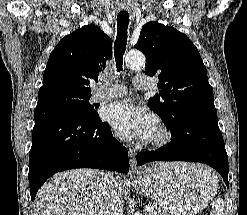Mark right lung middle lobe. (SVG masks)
I'll return each mask as SVG.
<instances>
[{
  "mask_svg": "<svg viewBox=\"0 0 247 215\" xmlns=\"http://www.w3.org/2000/svg\"><path fill=\"white\" fill-rule=\"evenodd\" d=\"M90 97L91 95L82 94L66 88L42 89L38 93V100L53 102L85 117H97L98 114L89 103Z\"/></svg>",
  "mask_w": 247,
  "mask_h": 215,
  "instance_id": "obj_1",
  "label": "right lung middle lobe"
}]
</instances>
